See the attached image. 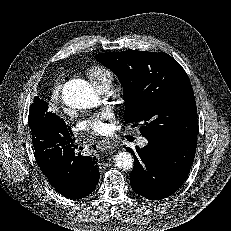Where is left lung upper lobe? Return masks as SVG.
Segmentation results:
<instances>
[{
	"mask_svg": "<svg viewBox=\"0 0 231 231\" xmlns=\"http://www.w3.org/2000/svg\"><path fill=\"white\" fill-rule=\"evenodd\" d=\"M123 85L126 123L168 143L197 138V107L182 66L164 52L126 50L95 55Z\"/></svg>",
	"mask_w": 231,
	"mask_h": 231,
	"instance_id": "left-lung-upper-lobe-1",
	"label": "left lung upper lobe"
}]
</instances>
